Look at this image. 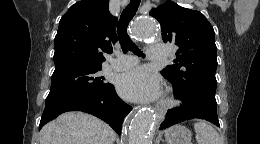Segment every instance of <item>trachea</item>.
Listing matches in <instances>:
<instances>
[{"mask_svg":"<svg viewBox=\"0 0 260 144\" xmlns=\"http://www.w3.org/2000/svg\"><path fill=\"white\" fill-rule=\"evenodd\" d=\"M140 0H131L128 6L123 10L117 25L118 40L124 53L132 51L135 55L145 57L143 52L133 43L127 33L129 22L136 14Z\"/></svg>","mask_w":260,"mask_h":144,"instance_id":"1","label":"trachea"}]
</instances>
